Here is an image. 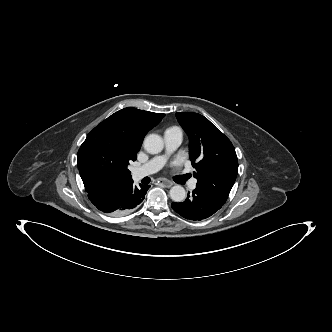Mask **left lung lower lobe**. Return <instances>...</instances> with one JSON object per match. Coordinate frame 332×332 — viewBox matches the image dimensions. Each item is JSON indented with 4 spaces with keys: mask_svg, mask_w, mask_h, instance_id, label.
<instances>
[{
    "mask_svg": "<svg viewBox=\"0 0 332 332\" xmlns=\"http://www.w3.org/2000/svg\"><path fill=\"white\" fill-rule=\"evenodd\" d=\"M223 205L205 192L195 188L192 194L188 193L185 201L173 202L172 208L186 219L200 221L213 215Z\"/></svg>",
    "mask_w": 332,
    "mask_h": 332,
    "instance_id": "left-lung-lower-lobe-1",
    "label": "left lung lower lobe"
}]
</instances>
